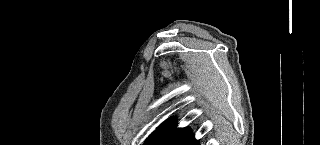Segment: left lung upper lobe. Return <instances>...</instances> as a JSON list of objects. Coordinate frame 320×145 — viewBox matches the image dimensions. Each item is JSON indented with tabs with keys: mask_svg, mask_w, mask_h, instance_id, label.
Wrapping results in <instances>:
<instances>
[{
	"mask_svg": "<svg viewBox=\"0 0 320 145\" xmlns=\"http://www.w3.org/2000/svg\"><path fill=\"white\" fill-rule=\"evenodd\" d=\"M191 134L187 128L177 129L175 121L163 124L150 135L145 145H180V143Z\"/></svg>",
	"mask_w": 320,
	"mask_h": 145,
	"instance_id": "5c2ea615",
	"label": "left lung upper lobe"
}]
</instances>
